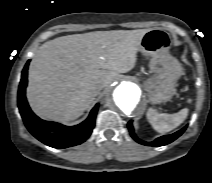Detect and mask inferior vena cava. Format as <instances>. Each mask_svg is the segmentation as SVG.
Listing matches in <instances>:
<instances>
[{
	"instance_id": "inferior-vena-cava-1",
	"label": "inferior vena cava",
	"mask_w": 212,
	"mask_h": 183,
	"mask_svg": "<svg viewBox=\"0 0 212 183\" xmlns=\"http://www.w3.org/2000/svg\"><path fill=\"white\" fill-rule=\"evenodd\" d=\"M103 88H104V85H103V84H99V85H97V86L95 87V90H96L97 92H100Z\"/></svg>"
}]
</instances>
